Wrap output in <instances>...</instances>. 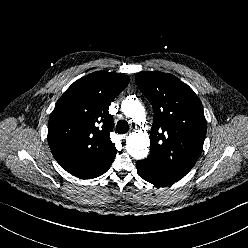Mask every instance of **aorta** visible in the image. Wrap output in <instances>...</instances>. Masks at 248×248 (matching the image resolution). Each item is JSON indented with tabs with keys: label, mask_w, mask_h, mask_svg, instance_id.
<instances>
[{
	"label": "aorta",
	"mask_w": 248,
	"mask_h": 248,
	"mask_svg": "<svg viewBox=\"0 0 248 248\" xmlns=\"http://www.w3.org/2000/svg\"><path fill=\"white\" fill-rule=\"evenodd\" d=\"M125 116L133 118L134 122L141 124L145 121V109L143 105L134 99H125L121 104ZM150 140L143 132H133L126 139L127 151L135 159H143L148 155Z\"/></svg>",
	"instance_id": "obj_1"
}]
</instances>
